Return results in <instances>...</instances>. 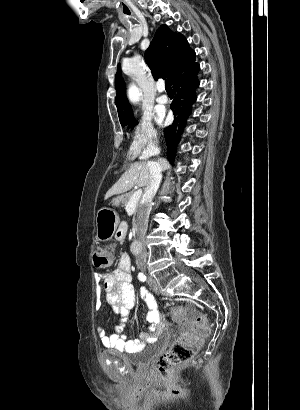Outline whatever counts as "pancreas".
Returning <instances> with one entry per match:
<instances>
[{"label":"pancreas","instance_id":"1","mask_svg":"<svg viewBox=\"0 0 300 410\" xmlns=\"http://www.w3.org/2000/svg\"><path fill=\"white\" fill-rule=\"evenodd\" d=\"M134 194V192H129L126 194H123L119 197L116 198L115 200V204L117 205H127V203L129 202L130 198L132 197V195ZM139 210V204L137 205L136 211Z\"/></svg>","mask_w":300,"mask_h":410}]
</instances>
